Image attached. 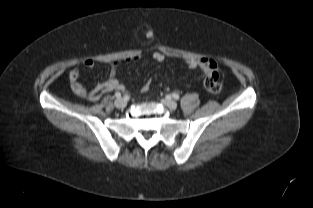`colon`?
<instances>
[{
  "label": "colon",
  "instance_id": "5ec220e1",
  "mask_svg": "<svg viewBox=\"0 0 313 208\" xmlns=\"http://www.w3.org/2000/svg\"><path fill=\"white\" fill-rule=\"evenodd\" d=\"M204 86H205L206 90L211 92V93L221 92V90L223 88V84L220 81L219 73H218L217 69L210 71L206 75V77L204 79ZM148 89H149V83H146L143 86V90L147 91Z\"/></svg>",
  "mask_w": 313,
  "mask_h": 208
}]
</instances>
